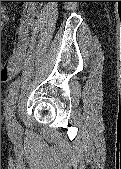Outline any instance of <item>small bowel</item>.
<instances>
[{"label": "small bowel", "instance_id": "small-bowel-1", "mask_svg": "<svg viewBox=\"0 0 121 169\" xmlns=\"http://www.w3.org/2000/svg\"><path fill=\"white\" fill-rule=\"evenodd\" d=\"M36 6L27 3L22 9L17 28V42L12 55L1 67V81H7L18 74L27 57V49L30 43V32L34 26L36 15ZM3 21H8L9 16L5 6L1 8Z\"/></svg>", "mask_w": 121, "mask_h": 169}]
</instances>
